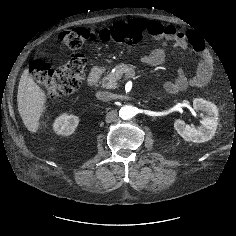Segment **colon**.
Wrapping results in <instances>:
<instances>
[{"label":"colon","mask_w":236,"mask_h":236,"mask_svg":"<svg viewBox=\"0 0 236 236\" xmlns=\"http://www.w3.org/2000/svg\"><path fill=\"white\" fill-rule=\"evenodd\" d=\"M146 30V22L142 19L116 22L111 27L90 31L86 28H74L63 31L60 41L72 50L81 49L86 43L100 40L134 45L141 41ZM87 59L82 53L74 54L64 65L53 68L42 60L30 63V73L50 97L73 93L80 86Z\"/></svg>","instance_id":"5ec220e1"}]
</instances>
